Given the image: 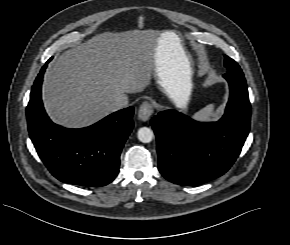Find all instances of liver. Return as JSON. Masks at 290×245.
<instances>
[{"label": "liver", "mask_w": 290, "mask_h": 245, "mask_svg": "<svg viewBox=\"0 0 290 245\" xmlns=\"http://www.w3.org/2000/svg\"><path fill=\"white\" fill-rule=\"evenodd\" d=\"M157 64L174 102L182 86L191 87V63L181 39L166 31L154 39L139 31L98 34L65 51L43 81L50 118L66 127H84L116 111L114 101L143 91Z\"/></svg>", "instance_id": "6515ba94"}]
</instances>
